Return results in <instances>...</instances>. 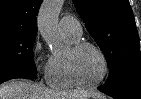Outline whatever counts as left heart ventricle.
Listing matches in <instances>:
<instances>
[{"label":"left heart ventricle","instance_id":"b2bd125f","mask_svg":"<svg viewBox=\"0 0 141 99\" xmlns=\"http://www.w3.org/2000/svg\"><path fill=\"white\" fill-rule=\"evenodd\" d=\"M77 70L85 82H95L103 74L104 65L100 54L93 48H85L77 56Z\"/></svg>","mask_w":141,"mask_h":99}]
</instances>
